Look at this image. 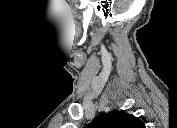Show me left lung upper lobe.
Segmentation results:
<instances>
[{"instance_id": "1", "label": "left lung upper lobe", "mask_w": 177, "mask_h": 128, "mask_svg": "<svg viewBox=\"0 0 177 128\" xmlns=\"http://www.w3.org/2000/svg\"><path fill=\"white\" fill-rule=\"evenodd\" d=\"M92 128H144L143 122L134 115L110 111L97 117L91 124Z\"/></svg>"}]
</instances>
